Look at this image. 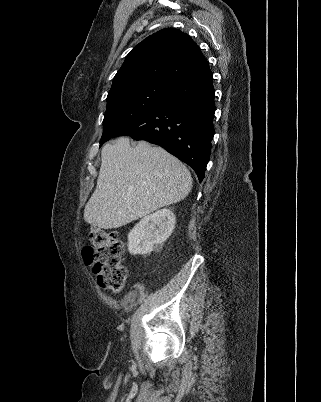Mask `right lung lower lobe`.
<instances>
[{
	"mask_svg": "<svg viewBox=\"0 0 321 402\" xmlns=\"http://www.w3.org/2000/svg\"><path fill=\"white\" fill-rule=\"evenodd\" d=\"M214 113L213 74L207 66L171 85L162 102L115 137L162 146L192 167L201 182L210 159Z\"/></svg>",
	"mask_w": 321,
	"mask_h": 402,
	"instance_id": "obj_1",
	"label": "right lung lower lobe"
}]
</instances>
